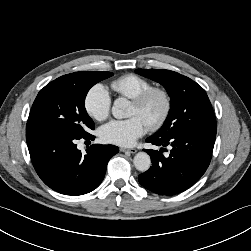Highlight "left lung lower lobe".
<instances>
[{"instance_id": "obj_1", "label": "left lung lower lobe", "mask_w": 251, "mask_h": 251, "mask_svg": "<svg viewBox=\"0 0 251 251\" xmlns=\"http://www.w3.org/2000/svg\"><path fill=\"white\" fill-rule=\"evenodd\" d=\"M216 129L183 131L167 138L149 137L146 142L172 147L168 157L164 148L145 150L152 166L138 176L140 184L159 195H175L194 185L205 173L211 161Z\"/></svg>"}]
</instances>
